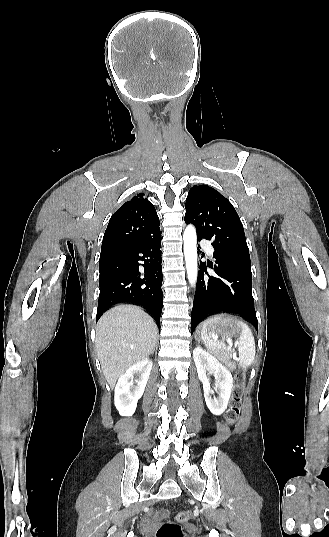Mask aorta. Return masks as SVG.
I'll return each mask as SVG.
<instances>
[{
  "label": "aorta",
  "mask_w": 329,
  "mask_h": 537,
  "mask_svg": "<svg viewBox=\"0 0 329 537\" xmlns=\"http://www.w3.org/2000/svg\"><path fill=\"white\" fill-rule=\"evenodd\" d=\"M184 256L186 263L187 278L189 284L194 288L197 283L198 265H197V235L196 229L188 225L183 233Z\"/></svg>",
  "instance_id": "1"
}]
</instances>
